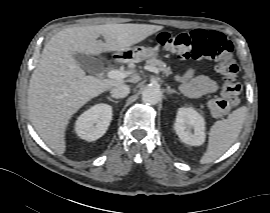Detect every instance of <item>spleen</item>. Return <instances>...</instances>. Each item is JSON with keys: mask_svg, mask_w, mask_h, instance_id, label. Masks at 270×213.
Returning <instances> with one entry per match:
<instances>
[{"mask_svg": "<svg viewBox=\"0 0 270 213\" xmlns=\"http://www.w3.org/2000/svg\"><path fill=\"white\" fill-rule=\"evenodd\" d=\"M246 107H240L230 113L226 120L216 121L210 128L208 146L200 159L208 164L223 155L238 138L246 118Z\"/></svg>", "mask_w": 270, "mask_h": 213, "instance_id": "3e777b00", "label": "spleen"}]
</instances>
